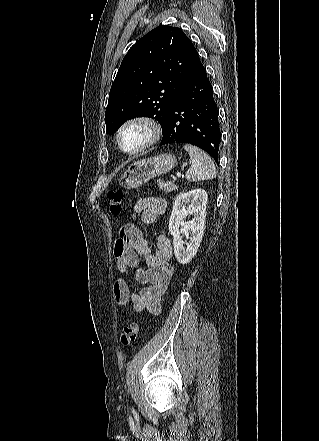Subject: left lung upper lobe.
<instances>
[{
  "instance_id": "obj_1",
  "label": "left lung upper lobe",
  "mask_w": 319,
  "mask_h": 441,
  "mask_svg": "<svg viewBox=\"0 0 319 441\" xmlns=\"http://www.w3.org/2000/svg\"><path fill=\"white\" fill-rule=\"evenodd\" d=\"M199 64L181 29L161 25L147 33L130 48L111 86L106 133L135 117H155L163 130L182 83Z\"/></svg>"
}]
</instances>
